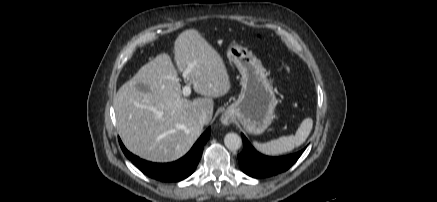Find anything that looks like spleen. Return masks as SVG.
Returning a JSON list of instances; mask_svg holds the SVG:
<instances>
[{
    "label": "spleen",
    "instance_id": "1",
    "mask_svg": "<svg viewBox=\"0 0 437 202\" xmlns=\"http://www.w3.org/2000/svg\"><path fill=\"white\" fill-rule=\"evenodd\" d=\"M313 127V120L306 118L302 121L299 128L296 131L295 136H282L278 139L259 143L254 141L253 146L261 153L266 155H280L289 151H292L295 147L303 144L308 138Z\"/></svg>",
    "mask_w": 437,
    "mask_h": 202
}]
</instances>
